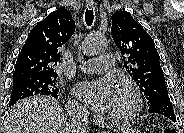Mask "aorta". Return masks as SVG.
<instances>
[{
	"mask_svg": "<svg viewBox=\"0 0 184 133\" xmlns=\"http://www.w3.org/2000/svg\"><path fill=\"white\" fill-rule=\"evenodd\" d=\"M107 48L105 37L92 33L80 45L81 52L86 56H94L104 52Z\"/></svg>",
	"mask_w": 184,
	"mask_h": 133,
	"instance_id": "aorta-1",
	"label": "aorta"
}]
</instances>
